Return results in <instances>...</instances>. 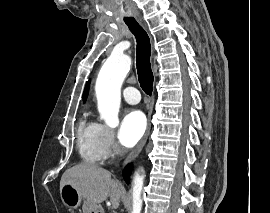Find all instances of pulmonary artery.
Masks as SVG:
<instances>
[{"instance_id":"e3ab8cb5","label":"pulmonary artery","mask_w":270,"mask_h":213,"mask_svg":"<svg viewBox=\"0 0 270 213\" xmlns=\"http://www.w3.org/2000/svg\"><path fill=\"white\" fill-rule=\"evenodd\" d=\"M123 97L130 104H137L141 99L139 91L134 87L125 88L123 90Z\"/></svg>"}]
</instances>
